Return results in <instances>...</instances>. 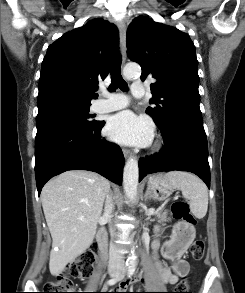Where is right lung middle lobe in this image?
<instances>
[{
	"instance_id": "1",
	"label": "right lung middle lobe",
	"mask_w": 245,
	"mask_h": 293,
	"mask_svg": "<svg viewBox=\"0 0 245 293\" xmlns=\"http://www.w3.org/2000/svg\"><path fill=\"white\" fill-rule=\"evenodd\" d=\"M90 105L57 103L38 108L35 143L49 135L67 128H86L97 121L91 120Z\"/></svg>"
}]
</instances>
